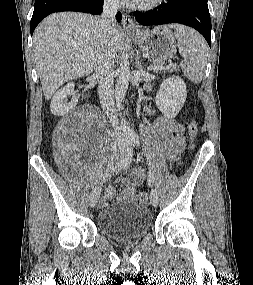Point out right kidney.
Instances as JSON below:
<instances>
[{
    "label": "right kidney",
    "instance_id": "1",
    "mask_svg": "<svg viewBox=\"0 0 253 285\" xmlns=\"http://www.w3.org/2000/svg\"><path fill=\"white\" fill-rule=\"evenodd\" d=\"M74 83H68L66 86L59 89L51 100V112L57 116H63L71 111L78 102V99H73L70 102H64V99L71 94H74Z\"/></svg>",
    "mask_w": 253,
    "mask_h": 285
}]
</instances>
